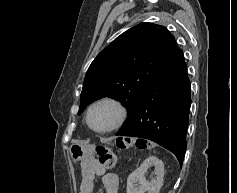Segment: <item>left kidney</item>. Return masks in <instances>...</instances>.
<instances>
[{
    "label": "left kidney",
    "instance_id": "left-kidney-1",
    "mask_svg": "<svg viewBox=\"0 0 237 193\" xmlns=\"http://www.w3.org/2000/svg\"><path fill=\"white\" fill-rule=\"evenodd\" d=\"M154 167L156 178L148 182L145 178V173L148 168ZM164 164L154 157L146 158L142 164L127 179V193H159L163 185Z\"/></svg>",
    "mask_w": 237,
    "mask_h": 193
}]
</instances>
